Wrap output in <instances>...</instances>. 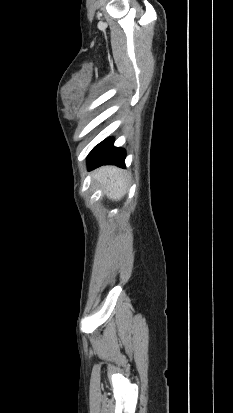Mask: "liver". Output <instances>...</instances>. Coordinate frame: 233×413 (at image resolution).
I'll use <instances>...</instances> for the list:
<instances>
[{"label": "liver", "mask_w": 233, "mask_h": 413, "mask_svg": "<svg viewBox=\"0 0 233 413\" xmlns=\"http://www.w3.org/2000/svg\"><path fill=\"white\" fill-rule=\"evenodd\" d=\"M95 178L101 182L104 194L111 200H120L127 191V178L114 166H104L97 171Z\"/></svg>", "instance_id": "obj_1"}]
</instances>
